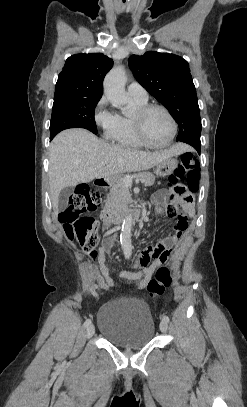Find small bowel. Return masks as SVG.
Returning a JSON list of instances; mask_svg holds the SVG:
<instances>
[{
	"label": "small bowel",
	"instance_id": "small-bowel-1",
	"mask_svg": "<svg viewBox=\"0 0 247 407\" xmlns=\"http://www.w3.org/2000/svg\"><path fill=\"white\" fill-rule=\"evenodd\" d=\"M151 200L155 204L158 214L175 218V222L167 237L159 240L154 245L147 246L138 254L134 264L142 268V273L132 274L122 272L120 274V278L123 281L133 283L138 287L146 286L154 271L168 260L173 248L182 238L183 233L188 227V217L193 215L192 206L187 201L177 200L173 196L168 198L167 201H162L161 193H154L151 196ZM112 246V240L106 238L103 245L91 256L92 260L99 264L100 275L96 276V284L102 289H108L115 285L105 265V253Z\"/></svg>",
	"mask_w": 247,
	"mask_h": 407
}]
</instances>
